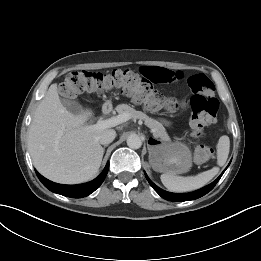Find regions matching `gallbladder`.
<instances>
[{"label":"gallbladder","mask_w":261,"mask_h":261,"mask_svg":"<svg viewBox=\"0 0 261 261\" xmlns=\"http://www.w3.org/2000/svg\"><path fill=\"white\" fill-rule=\"evenodd\" d=\"M62 103L69 111H71L74 114H80L82 112L81 105L72 97L66 96L62 98Z\"/></svg>","instance_id":"1"}]
</instances>
